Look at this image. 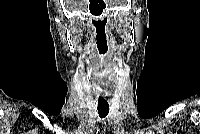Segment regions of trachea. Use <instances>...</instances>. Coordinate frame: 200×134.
Segmentation results:
<instances>
[{
  "mask_svg": "<svg viewBox=\"0 0 200 134\" xmlns=\"http://www.w3.org/2000/svg\"><path fill=\"white\" fill-rule=\"evenodd\" d=\"M98 114L101 118H104L107 116L109 112V104L106 101H99L98 102Z\"/></svg>",
  "mask_w": 200,
  "mask_h": 134,
  "instance_id": "obj_1",
  "label": "trachea"
}]
</instances>
